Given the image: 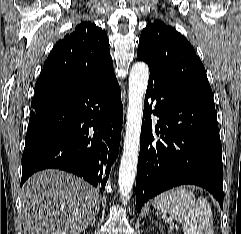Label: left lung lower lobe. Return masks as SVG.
<instances>
[{"mask_svg": "<svg viewBox=\"0 0 241 234\" xmlns=\"http://www.w3.org/2000/svg\"><path fill=\"white\" fill-rule=\"evenodd\" d=\"M152 113L159 119L156 135ZM140 142L138 212L150 198L181 184L207 189L223 208L222 145L211 95L150 70Z\"/></svg>", "mask_w": 241, "mask_h": 234, "instance_id": "1", "label": "left lung lower lobe"}]
</instances>
